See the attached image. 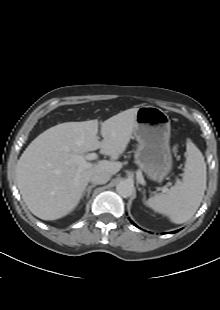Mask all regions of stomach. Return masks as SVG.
I'll use <instances>...</instances> for the list:
<instances>
[{
    "label": "stomach",
    "instance_id": "stomach-1",
    "mask_svg": "<svg viewBox=\"0 0 220 310\" xmlns=\"http://www.w3.org/2000/svg\"><path fill=\"white\" fill-rule=\"evenodd\" d=\"M170 131L169 116L162 109L150 105L138 109L133 129L138 142L135 162L153 181L163 180L172 170Z\"/></svg>",
    "mask_w": 220,
    "mask_h": 310
}]
</instances>
